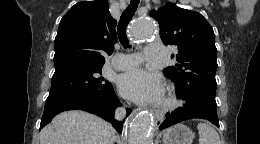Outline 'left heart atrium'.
Listing matches in <instances>:
<instances>
[{
	"instance_id": "39dd6f15",
	"label": "left heart atrium",
	"mask_w": 260,
	"mask_h": 144,
	"mask_svg": "<svg viewBox=\"0 0 260 144\" xmlns=\"http://www.w3.org/2000/svg\"><path fill=\"white\" fill-rule=\"evenodd\" d=\"M121 93L139 104L161 102L163 87L160 77L143 69H135L123 74L119 80Z\"/></svg>"
}]
</instances>
